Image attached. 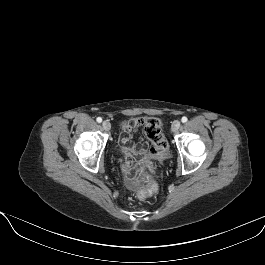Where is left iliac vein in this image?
Wrapping results in <instances>:
<instances>
[{"label":"left iliac vein","instance_id":"left-iliac-vein-1","mask_svg":"<svg viewBox=\"0 0 265 265\" xmlns=\"http://www.w3.org/2000/svg\"><path fill=\"white\" fill-rule=\"evenodd\" d=\"M180 125H181L180 121L179 120H175L172 123V127H171L172 132H174V133L177 132L178 129L180 128Z\"/></svg>","mask_w":265,"mask_h":265}]
</instances>
